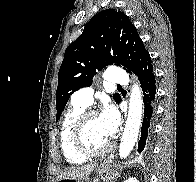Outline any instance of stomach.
<instances>
[{"label": "stomach", "instance_id": "stomach-1", "mask_svg": "<svg viewBox=\"0 0 196 182\" xmlns=\"http://www.w3.org/2000/svg\"><path fill=\"white\" fill-rule=\"evenodd\" d=\"M95 171L97 175L104 182H109L113 177H116L118 175V172L114 170L113 167L106 162L98 163ZM57 182H90V181L88 180V178L86 179L62 178L57 180Z\"/></svg>", "mask_w": 196, "mask_h": 182}]
</instances>
